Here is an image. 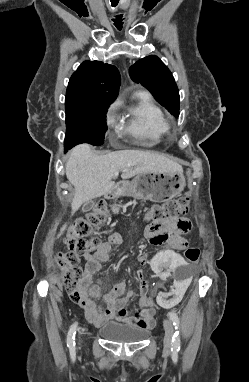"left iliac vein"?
I'll return each mask as SVG.
<instances>
[{"label":"left iliac vein","instance_id":"obj_1","mask_svg":"<svg viewBox=\"0 0 249 382\" xmlns=\"http://www.w3.org/2000/svg\"><path fill=\"white\" fill-rule=\"evenodd\" d=\"M164 330H165L164 349H165V351L169 352L171 349L172 337H173V333H174L173 324L169 319L164 320Z\"/></svg>","mask_w":249,"mask_h":382}]
</instances>
